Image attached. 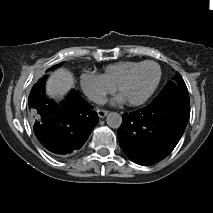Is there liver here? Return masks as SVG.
I'll return each mask as SVG.
<instances>
[{
	"label": "liver",
	"mask_w": 213,
	"mask_h": 213,
	"mask_svg": "<svg viewBox=\"0 0 213 213\" xmlns=\"http://www.w3.org/2000/svg\"><path fill=\"white\" fill-rule=\"evenodd\" d=\"M73 74L67 69H58L51 73L46 83V94L52 98L62 99L73 87Z\"/></svg>",
	"instance_id": "obj_1"
}]
</instances>
